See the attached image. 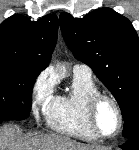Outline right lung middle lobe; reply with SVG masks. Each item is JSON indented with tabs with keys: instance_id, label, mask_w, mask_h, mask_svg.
Here are the masks:
<instances>
[{
	"instance_id": "dd1d6c3e",
	"label": "right lung middle lobe",
	"mask_w": 139,
	"mask_h": 150,
	"mask_svg": "<svg viewBox=\"0 0 139 150\" xmlns=\"http://www.w3.org/2000/svg\"><path fill=\"white\" fill-rule=\"evenodd\" d=\"M39 73L31 68L0 65V123L29 116L32 88Z\"/></svg>"
}]
</instances>
